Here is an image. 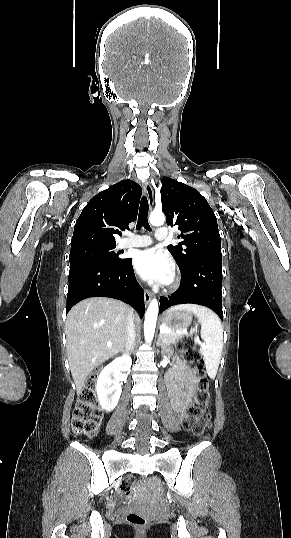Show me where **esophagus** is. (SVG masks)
<instances>
[{
  "instance_id": "1",
  "label": "esophagus",
  "mask_w": 291,
  "mask_h": 538,
  "mask_svg": "<svg viewBox=\"0 0 291 538\" xmlns=\"http://www.w3.org/2000/svg\"><path fill=\"white\" fill-rule=\"evenodd\" d=\"M144 192L148 199L149 207L150 209H152L153 204H154V192H153V187L149 181H146L144 183ZM151 298H152V292L147 289L144 290V299L147 304L150 302Z\"/></svg>"
}]
</instances>
